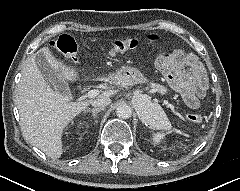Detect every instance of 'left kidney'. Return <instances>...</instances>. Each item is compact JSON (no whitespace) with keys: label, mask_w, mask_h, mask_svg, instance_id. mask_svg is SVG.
Here are the masks:
<instances>
[{"label":"left kidney","mask_w":240,"mask_h":191,"mask_svg":"<svg viewBox=\"0 0 240 191\" xmlns=\"http://www.w3.org/2000/svg\"><path fill=\"white\" fill-rule=\"evenodd\" d=\"M164 138H165V133H163V132H153L151 139L155 144H159L160 142H162V140Z\"/></svg>","instance_id":"1"}]
</instances>
